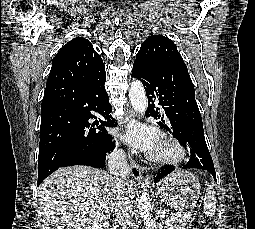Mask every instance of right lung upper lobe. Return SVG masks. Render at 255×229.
<instances>
[{
    "mask_svg": "<svg viewBox=\"0 0 255 229\" xmlns=\"http://www.w3.org/2000/svg\"><path fill=\"white\" fill-rule=\"evenodd\" d=\"M103 68V61L89 40L72 39L52 60L41 109L72 100Z\"/></svg>",
    "mask_w": 255,
    "mask_h": 229,
    "instance_id": "right-lung-upper-lobe-1",
    "label": "right lung upper lobe"
}]
</instances>
